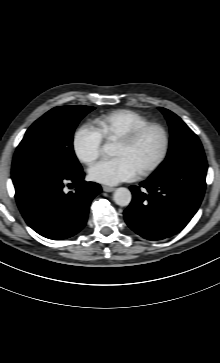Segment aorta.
I'll return each mask as SVG.
<instances>
[{"instance_id": "aorta-1", "label": "aorta", "mask_w": 220, "mask_h": 363, "mask_svg": "<svg viewBox=\"0 0 220 363\" xmlns=\"http://www.w3.org/2000/svg\"><path fill=\"white\" fill-rule=\"evenodd\" d=\"M102 149L109 156L115 155V146L111 143L104 144ZM113 200L119 206H128L132 200V194L129 189L120 187L115 190Z\"/></svg>"}]
</instances>
